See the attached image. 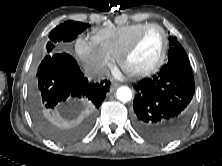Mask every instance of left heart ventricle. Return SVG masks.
Segmentation results:
<instances>
[{
  "label": "left heart ventricle",
  "mask_w": 222,
  "mask_h": 166,
  "mask_svg": "<svg viewBox=\"0 0 222 166\" xmlns=\"http://www.w3.org/2000/svg\"><path fill=\"white\" fill-rule=\"evenodd\" d=\"M163 48V36L157 29L149 30L126 60L130 71L145 70L156 63Z\"/></svg>",
  "instance_id": "b2bd125f"
}]
</instances>
